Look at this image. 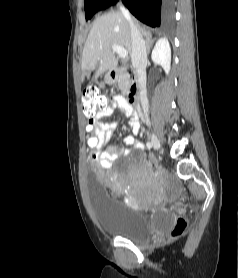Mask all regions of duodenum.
<instances>
[{"mask_svg": "<svg viewBox=\"0 0 238 278\" xmlns=\"http://www.w3.org/2000/svg\"><path fill=\"white\" fill-rule=\"evenodd\" d=\"M128 73L133 78L134 72L129 67H118L113 68L109 71L108 76L109 80L112 82L117 81L123 74ZM127 99L128 102L131 104H135L137 100V84L135 81L132 82L131 86L128 89L127 92Z\"/></svg>", "mask_w": 238, "mask_h": 278, "instance_id": "1", "label": "duodenum"}]
</instances>
